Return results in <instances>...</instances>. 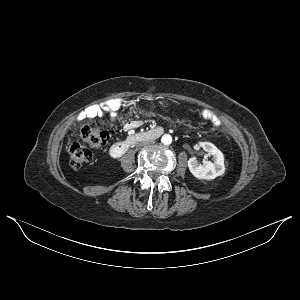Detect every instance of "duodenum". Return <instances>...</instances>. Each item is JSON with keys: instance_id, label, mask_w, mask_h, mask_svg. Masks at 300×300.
Segmentation results:
<instances>
[{"instance_id": "1", "label": "duodenum", "mask_w": 300, "mask_h": 300, "mask_svg": "<svg viewBox=\"0 0 300 300\" xmlns=\"http://www.w3.org/2000/svg\"><path fill=\"white\" fill-rule=\"evenodd\" d=\"M162 134L158 128L149 130L147 132L130 133L123 141L113 144L109 149L110 156L118 158L122 156L131 146L145 138H156Z\"/></svg>"}]
</instances>
